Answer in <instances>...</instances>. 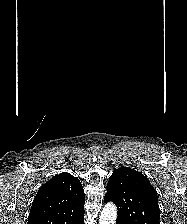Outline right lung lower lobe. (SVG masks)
Here are the masks:
<instances>
[{
	"label": "right lung lower lobe",
	"instance_id": "1",
	"mask_svg": "<svg viewBox=\"0 0 187 224\" xmlns=\"http://www.w3.org/2000/svg\"><path fill=\"white\" fill-rule=\"evenodd\" d=\"M70 224H84L83 216L81 218H78L77 220H73L70 222Z\"/></svg>",
	"mask_w": 187,
	"mask_h": 224
}]
</instances>
